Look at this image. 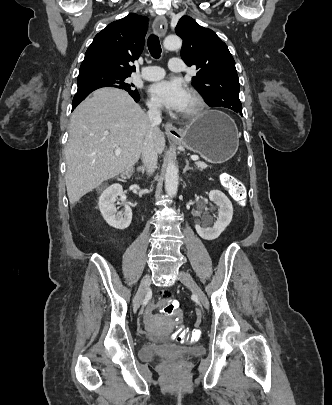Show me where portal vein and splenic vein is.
Wrapping results in <instances>:
<instances>
[{"instance_id":"obj_1","label":"portal vein and splenic vein","mask_w":332,"mask_h":405,"mask_svg":"<svg viewBox=\"0 0 332 405\" xmlns=\"http://www.w3.org/2000/svg\"><path fill=\"white\" fill-rule=\"evenodd\" d=\"M121 153V148H117L116 150H115V154L116 155H119ZM191 159L193 160V161H197L199 158H198V156H191Z\"/></svg>"}]
</instances>
